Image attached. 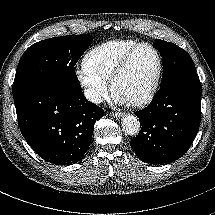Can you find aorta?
<instances>
[{"label": "aorta", "mask_w": 215, "mask_h": 215, "mask_svg": "<svg viewBox=\"0 0 215 215\" xmlns=\"http://www.w3.org/2000/svg\"><path fill=\"white\" fill-rule=\"evenodd\" d=\"M122 128L128 135H136L140 130V121L136 116L126 115L122 119Z\"/></svg>", "instance_id": "1"}]
</instances>
